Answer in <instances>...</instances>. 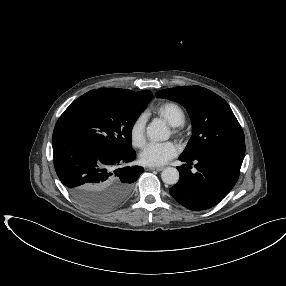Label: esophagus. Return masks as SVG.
<instances>
[{
	"label": "esophagus",
	"mask_w": 286,
	"mask_h": 286,
	"mask_svg": "<svg viewBox=\"0 0 286 286\" xmlns=\"http://www.w3.org/2000/svg\"><path fill=\"white\" fill-rule=\"evenodd\" d=\"M149 170H154V171H162L164 167H149Z\"/></svg>",
	"instance_id": "esophagus-1"
}]
</instances>
